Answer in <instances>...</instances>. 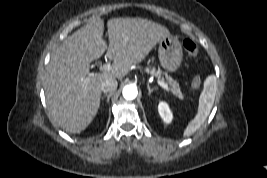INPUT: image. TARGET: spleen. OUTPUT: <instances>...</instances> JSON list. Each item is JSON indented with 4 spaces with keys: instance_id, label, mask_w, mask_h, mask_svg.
I'll return each instance as SVG.
<instances>
[{
    "instance_id": "obj_1",
    "label": "spleen",
    "mask_w": 267,
    "mask_h": 178,
    "mask_svg": "<svg viewBox=\"0 0 267 178\" xmlns=\"http://www.w3.org/2000/svg\"><path fill=\"white\" fill-rule=\"evenodd\" d=\"M217 90L215 76H208L204 82L203 91L199 98L198 111L194 119H192L184 130L183 137H189L194 134L205 122L208 117Z\"/></svg>"
}]
</instances>
